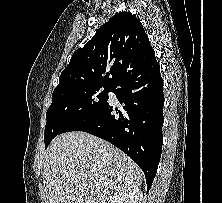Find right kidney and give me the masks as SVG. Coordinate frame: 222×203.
Instances as JSON below:
<instances>
[{
    "label": "right kidney",
    "mask_w": 222,
    "mask_h": 203,
    "mask_svg": "<svg viewBox=\"0 0 222 203\" xmlns=\"http://www.w3.org/2000/svg\"><path fill=\"white\" fill-rule=\"evenodd\" d=\"M143 194L139 188L129 189L118 197H116L111 203H142Z\"/></svg>",
    "instance_id": "obj_1"
}]
</instances>
